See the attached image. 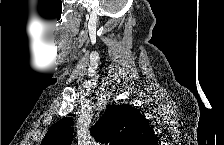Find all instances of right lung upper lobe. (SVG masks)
Wrapping results in <instances>:
<instances>
[{
    "mask_svg": "<svg viewBox=\"0 0 224 145\" xmlns=\"http://www.w3.org/2000/svg\"><path fill=\"white\" fill-rule=\"evenodd\" d=\"M72 118H63L51 126L41 145H69L72 142ZM98 142L110 145H150L155 138L144 116L130 105L106 106L102 117L90 130Z\"/></svg>",
    "mask_w": 224,
    "mask_h": 145,
    "instance_id": "right-lung-upper-lobe-1",
    "label": "right lung upper lobe"
}]
</instances>
